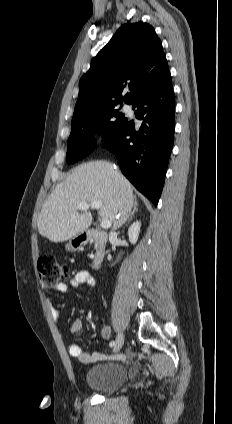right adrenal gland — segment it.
<instances>
[{
	"mask_svg": "<svg viewBox=\"0 0 232 424\" xmlns=\"http://www.w3.org/2000/svg\"><path fill=\"white\" fill-rule=\"evenodd\" d=\"M137 211H138V208H137V200H136V197H134L133 211H132V213H131L130 218L126 221V225H127V223L129 224V223L132 221V219H133V217H134V214H135V212H137Z\"/></svg>",
	"mask_w": 232,
	"mask_h": 424,
	"instance_id": "1",
	"label": "right adrenal gland"
}]
</instances>
